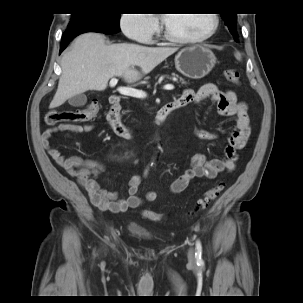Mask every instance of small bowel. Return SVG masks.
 I'll return each mask as SVG.
<instances>
[{
	"mask_svg": "<svg viewBox=\"0 0 303 303\" xmlns=\"http://www.w3.org/2000/svg\"><path fill=\"white\" fill-rule=\"evenodd\" d=\"M210 100L217 106L219 117L236 116L233 129L229 133L227 145L222 158L207 160L204 154L197 153L191 158L190 168L177 177L170 185L173 194L183 192L195 178L207 177L214 179L222 172H232L236 168L238 160L237 151L244 148L251 134V127L247 116L245 105L238 101L231 90H222L215 84L207 83L197 90L185 89L176 100L181 107L190 103L201 104ZM94 125L61 124L57 127L46 129L42 133L43 146L50 157L67 173L77 179L82 188L88 193L91 201L102 211L120 213L128 209L139 208L144 199L137 195L142 182L140 175H132L127 181L128 198L118 199L117 192L102 189L97 177L104 171L105 164L101 161L85 159L80 156L65 157L56 149L51 139L54 134L63 132L83 133L90 132ZM195 135L204 141H213L218 138L216 131H210L196 127ZM156 193L148 191L145 195L146 201H154Z\"/></svg>",
	"mask_w": 303,
	"mask_h": 303,
	"instance_id": "obj_1",
	"label": "small bowel"
}]
</instances>
